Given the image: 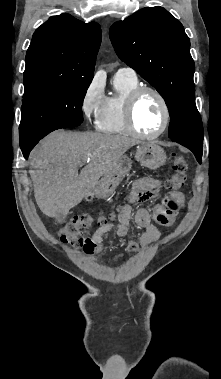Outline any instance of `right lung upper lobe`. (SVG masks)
Instances as JSON below:
<instances>
[{
    "label": "right lung upper lobe",
    "instance_id": "obj_1",
    "mask_svg": "<svg viewBox=\"0 0 221 379\" xmlns=\"http://www.w3.org/2000/svg\"><path fill=\"white\" fill-rule=\"evenodd\" d=\"M101 43V28L69 14L51 17L34 33L26 53L25 92L92 80Z\"/></svg>",
    "mask_w": 221,
    "mask_h": 379
}]
</instances>
